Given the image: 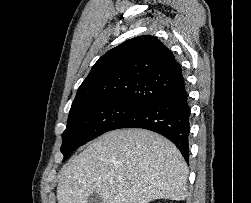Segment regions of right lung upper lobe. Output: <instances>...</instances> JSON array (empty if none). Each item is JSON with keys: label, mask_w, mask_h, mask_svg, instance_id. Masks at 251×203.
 I'll list each match as a JSON object with an SVG mask.
<instances>
[{"label": "right lung upper lobe", "mask_w": 251, "mask_h": 203, "mask_svg": "<svg viewBox=\"0 0 251 203\" xmlns=\"http://www.w3.org/2000/svg\"><path fill=\"white\" fill-rule=\"evenodd\" d=\"M183 83L172 52L153 36H138L111 49L94 64L72 105L128 102L143 106Z\"/></svg>", "instance_id": "1"}]
</instances>
